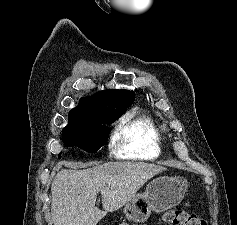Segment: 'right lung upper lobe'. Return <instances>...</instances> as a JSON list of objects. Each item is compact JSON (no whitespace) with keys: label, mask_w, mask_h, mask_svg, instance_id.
Wrapping results in <instances>:
<instances>
[{"label":"right lung upper lobe","mask_w":237,"mask_h":225,"mask_svg":"<svg viewBox=\"0 0 237 225\" xmlns=\"http://www.w3.org/2000/svg\"><path fill=\"white\" fill-rule=\"evenodd\" d=\"M134 100L133 91L117 89L99 91L91 97L81 98L80 104L69 112L68 122L87 123L97 111L122 115Z\"/></svg>","instance_id":"1"}]
</instances>
